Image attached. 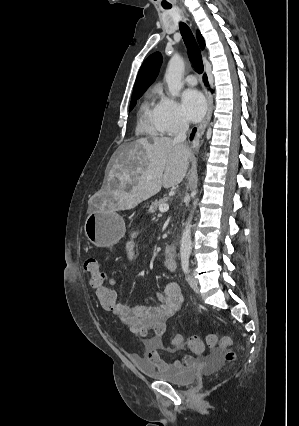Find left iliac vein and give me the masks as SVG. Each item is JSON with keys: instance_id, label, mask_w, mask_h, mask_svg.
<instances>
[{"instance_id": "obj_1", "label": "left iliac vein", "mask_w": 299, "mask_h": 426, "mask_svg": "<svg viewBox=\"0 0 299 426\" xmlns=\"http://www.w3.org/2000/svg\"><path fill=\"white\" fill-rule=\"evenodd\" d=\"M186 281L188 282L190 287L193 288L194 290H197L199 288L198 281L193 276H188L186 278Z\"/></svg>"}]
</instances>
